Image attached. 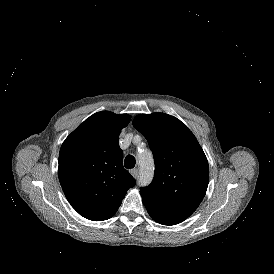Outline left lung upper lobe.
I'll list each match as a JSON object with an SVG mask.
<instances>
[{
    "label": "left lung upper lobe",
    "mask_w": 274,
    "mask_h": 274,
    "mask_svg": "<svg viewBox=\"0 0 274 274\" xmlns=\"http://www.w3.org/2000/svg\"><path fill=\"white\" fill-rule=\"evenodd\" d=\"M133 126L148 140L155 161L153 181L140 191L194 212L209 182L208 161L195 136L179 119L164 113L139 114Z\"/></svg>",
    "instance_id": "1"
}]
</instances>
